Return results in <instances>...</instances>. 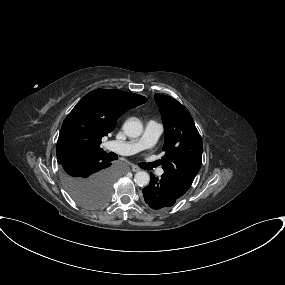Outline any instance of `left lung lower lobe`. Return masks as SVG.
<instances>
[{"label":"left lung lower lobe","instance_id":"left-lung-lower-lobe-1","mask_svg":"<svg viewBox=\"0 0 285 285\" xmlns=\"http://www.w3.org/2000/svg\"><path fill=\"white\" fill-rule=\"evenodd\" d=\"M187 190L164 173L159 179L151 174L150 184L142 192L148 206L158 210L175 204Z\"/></svg>","mask_w":285,"mask_h":285}]
</instances>
